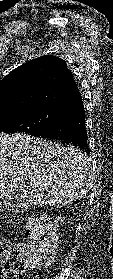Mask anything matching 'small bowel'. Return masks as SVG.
<instances>
[{
    "label": "small bowel",
    "instance_id": "c3829d8e",
    "mask_svg": "<svg viewBox=\"0 0 113 279\" xmlns=\"http://www.w3.org/2000/svg\"><path fill=\"white\" fill-rule=\"evenodd\" d=\"M0 279H5V273L4 272L1 273Z\"/></svg>",
    "mask_w": 113,
    "mask_h": 279
}]
</instances>
